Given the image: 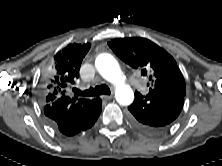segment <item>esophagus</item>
<instances>
[{
	"instance_id": "34e87169",
	"label": "esophagus",
	"mask_w": 222,
	"mask_h": 166,
	"mask_svg": "<svg viewBox=\"0 0 222 166\" xmlns=\"http://www.w3.org/2000/svg\"><path fill=\"white\" fill-rule=\"evenodd\" d=\"M113 96L112 95H103V98L106 99V100H109L111 99Z\"/></svg>"
}]
</instances>
